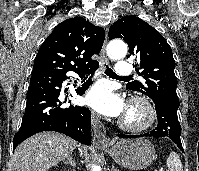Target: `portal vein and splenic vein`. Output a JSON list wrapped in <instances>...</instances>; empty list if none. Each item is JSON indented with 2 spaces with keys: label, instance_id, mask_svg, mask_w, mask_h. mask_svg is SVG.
Listing matches in <instances>:
<instances>
[{
  "label": "portal vein and splenic vein",
  "instance_id": "18ae733b",
  "mask_svg": "<svg viewBox=\"0 0 199 171\" xmlns=\"http://www.w3.org/2000/svg\"><path fill=\"white\" fill-rule=\"evenodd\" d=\"M159 171H164L163 169H160Z\"/></svg>",
  "mask_w": 199,
  "mask_h": 171
}]
</instances>
